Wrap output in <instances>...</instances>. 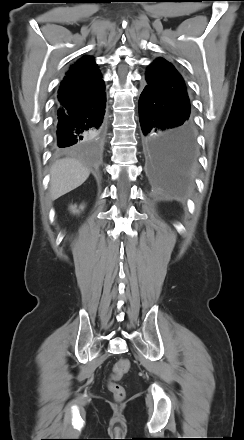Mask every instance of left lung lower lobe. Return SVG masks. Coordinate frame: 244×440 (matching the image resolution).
I'll list each match as a JSON object with an SVG mask.
<instances>
[{"label":"left lung lower lobe","instance_id":"1","mask_svg":"<svg viewBox=\"0 0 244 440\" xmlns=\"http://www.w3.org/2000/svg\"><path fill=\"white\" fill-rule=\"evenodd\" d=\"M145 153L152 172L185 187L197 160L196 131L190 112L176 107L149 86L139 99Z\"/></svg>","mask_w":244,"mask_h":440}]
</instances>
